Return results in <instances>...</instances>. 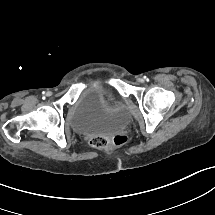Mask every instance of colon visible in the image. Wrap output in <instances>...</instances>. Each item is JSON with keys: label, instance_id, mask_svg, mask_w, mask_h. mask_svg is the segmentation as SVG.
Instances as JSON below:
<instances>
[{"label": "colon", "instance_id": "colon-1", "mask_svg": "<svg viewBox=\"0 0 215 215\" xmlns=\"http://www.w3.org/2000/svg\"><path fill=\"white\" fill-rule=\"evenodd\" d=\"M125 136L121 134L98 136L91 140V145L95 148H110L121 146L125 143Z\"/></svg>", "mask_w": 215, "mask_h": 215}]
</instances>
